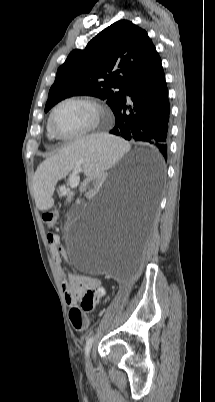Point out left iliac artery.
Returning a JSON list of instances; mask_svg holds the SVG:
<instances>
[{
    "instance_id": "left-iliac-artery-1",
    "label": "left iliac artery",
    "mask_w": 215,
    "mask_h": 402,
    "mask_svg": "<svg viewBox=\"0 0 215 402\" xmlns=\"http://www.w3.org/2000/svg\"><path fill=\"white\" fill-rule=\"evenodd\" d=\"M93 340H94V337L91 336V337H89V338L87 339V341H86V345H85V355H86V356H88V354H89V352H90V349H91L92 344H93Z\"/></svg>"
}]
</instances>
